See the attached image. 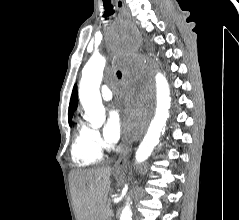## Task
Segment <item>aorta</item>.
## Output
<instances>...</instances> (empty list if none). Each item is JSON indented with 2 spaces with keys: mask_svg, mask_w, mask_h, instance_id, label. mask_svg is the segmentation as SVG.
<instances>
[{
  "mask_svg": "<svg viewBox=\"0 0 239 220\" xmlns=\"http://www.w3.org/2000/svg\"><path fill=\"white\" fill-rule=\"evenodd\" d=\"M113 38L114 40H135V33H114ZM118 46L135 45H114L115 48H118ZM145 60L153 59L145 58ZM105 64L106 59L103 56H92L83 69L79 87V99L86 114L85 118L94 127L101 126L105 119V109L99 90ZM147 71H154L155 73L157 103L155 115L135 154V160L138 164L146 161L159 143L162 130L169 117L171 106L169 85L165 76L160 71V66L155 65V70ZM131 203L130 197H128L122 209L120 220H132Z\"/></svg>",
  "mask_w": 239,
  "mask_h": 220,
  "instance_id": "obj_1",
  "label": "aorta"
}]
</instances>
